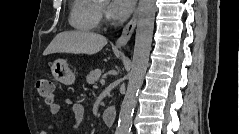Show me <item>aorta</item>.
Wrapping results in <instances>:
<instances>
[{"mask_svg": "<svg viewBox=\"0 0 239 134\" xmlns=\"http://www.w3.org/2000/svg\"><path fill=\"white\" fill-rule=\"evenodd\" d=\"M156 10L155 0H141L131 71L127 92L121 105L117 134H129L131 130L136 96L148 67Z\"/></svg>", "mask_w": 239, "mask_h": 134, "instance_id": "obj_1", "label": "aorta"}]
</instances>
